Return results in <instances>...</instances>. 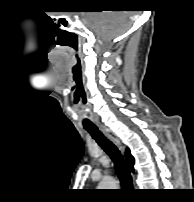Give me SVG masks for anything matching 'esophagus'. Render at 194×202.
Returning <instances> with one entry per match:
<instances>
[{
    "label": "esophagus",
    "mask_w": 194,
    "mask_h": 202,
    "mask_svg": "<svg viewBox=\"0 0 194 202\" xmlns=\"http://www.w3.org/2000/svg\"><path fill=\"white\" fill-rule=\"evenodd\" d=\"M104 131L116 144H119L117 136L110 129L104 127Z\"/></svg>",
    "instance_id": "1"
}]
</instances>
